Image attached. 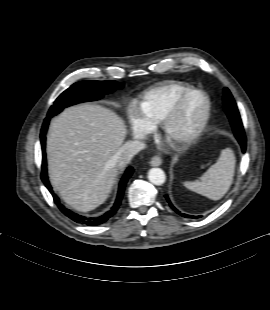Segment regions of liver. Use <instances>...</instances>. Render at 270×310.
<instances>
[{
	"label": "liver",
	"mask_w": 270,
	"mask_h": 310,
	"mask_svg": "<svg viewBox=\"0 0 270 310\" xmlns=\"http://www.w3.org/2000/svg\"><path fill=\"white\" fill-rule=\"evenodd\" d=\"M126 133L123 120L100 105L72 106L52 119L47 136L49 177L68 206L88 212L108 198L118 172L111 160Z\"/></svg>",
	"instance_id": "liver-1"
}]
</instances>
